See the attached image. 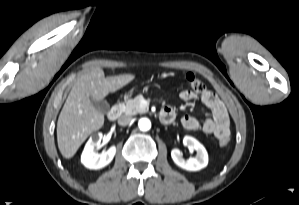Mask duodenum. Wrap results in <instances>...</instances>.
Segmentation results:
<instances>
[{"label": "duodenum", "instance_id": "obj_1", "mask_svg": "<svg viewBox=\"0 0 299 205\" xmlns=\"http://www.w3.org/2000/svg\"><path fill=\"white\" fill-rule=\"evenodd\" d=\"M121 112V108L120 105H114L110 111L108 112V118L109 120H116L118 118V116L120 115ZM160 120L163 123H170L172 121V115L168 114L166 112H161L160 114Z\"/></svg>", "mask_w": 299, "mask_h": 205}]
</instances>
